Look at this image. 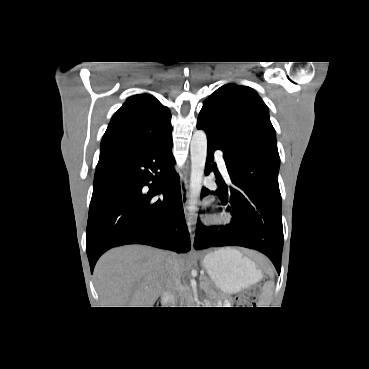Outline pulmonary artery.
<instances>
[{
  "mask_svg": "<svg viewBox=\"0 0 369 369\" xmlns=\"http://www.w3.org/2000/svg\"><path fill=\"white\" fill-rule=\"evenodd\" d=\"M216 161L218 163V166L220 168V170L226 175L228 176V172H227V167H226V163L224 158L222 157V155L220 153H216Z\"/></svg>",
  "mask_w": 369,
  "mask_h": 369,
  "instance_id": "pulmonary-artery-1",
  "label": "pulmonary artery"
}]
</instances>
